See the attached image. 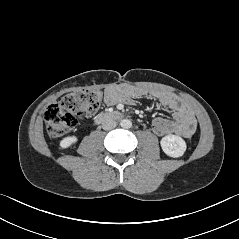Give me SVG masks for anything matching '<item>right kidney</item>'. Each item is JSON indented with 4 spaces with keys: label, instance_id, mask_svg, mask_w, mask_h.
Returning a JSON list of instances; mask_svg holds the SVG:
<instances>
[{
    "label": "right kidney",
    "instance_id": "1",
    "mask_svg": "<svg viewBox=\"0 0 239 239\" xmlns=\"http://www.w3.org/2000/svg\"><path fill=\"white\" fill-rule=\"evenodd\" d=\"M78 141L76 136H67L60 141V147L66 149Z\"/></svg>",
    "mask_w": 239,
    "mask_h": 239
}]
</instances>
